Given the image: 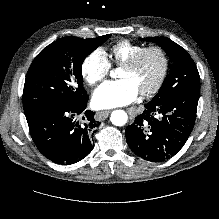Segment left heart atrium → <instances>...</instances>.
Instances as JSON below:
<instances>
[{"label":"left heart atrium","mask_w":219,"mask_h":219,"mask_svg":"<svg viewBox=\"0 0 219 219\" xmlns=\"http://www.w3.org/2000/svg\"><path fill=\"white\" fill-rule=\"evenodd\" d=\"M139 94L128 80L108 81L93 94V104L99 109L114 108L133 102Z\"/></svg>","instance_id":"39dd6f15"}]
</instances>
